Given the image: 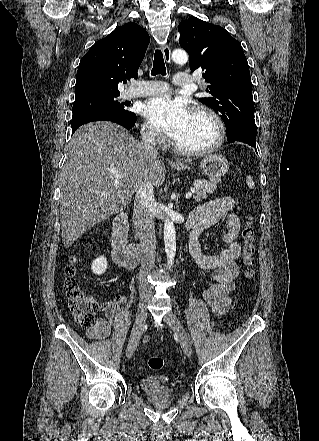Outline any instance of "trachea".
I'll list each match as a JSON object with an SVG mask.
<instances>
[{"mask_svg": "<svg viewBox=\"0 0 319 441\" xmlns=\"http://www.w3.org/2000/svg\"><path fill=\"white\" fill-rule=\"evenodd\" d=\"M151 74L153 76L157 74L166 75V67L163 59V54L159 49L155 50L153 68L151 70Z\"/></svg>", "mask_w": 319, "mask_h": 441, "instance_id": "obj_1", "label": "trachea"}]
</instances>
